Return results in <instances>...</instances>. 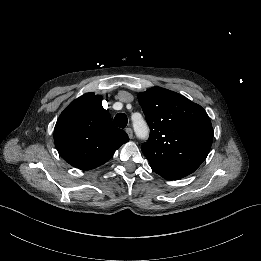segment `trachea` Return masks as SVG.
<instances>
[{"mask_svg":"<svg viewBox=\"0 0 261 261\" xmlns=\"http://www.w3.org/2000/svg\"><path fill=\"white\" fill-rule=\"evenodd\" d=\"M114 123L119 128H125L128 123V118L124 113H118L114 118Z\"/></svg>","mask_w":261,"mask_h":261,"instance_id":"3493384b","label":"trachea"}]
</instances>
